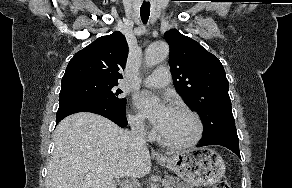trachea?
<instances>
[{"mask_svg":"<svg viewBox=\"0 0 292 188\" xmlns=\"http://www.w3.org/2000/svg\"><path fill=\"white\" fill-rule=\"evenodd\" d=\"M150 15V3H143L140 8V16L144 24L147 23Z\"/></svg>","mask_w":292,"mask_h":188,"instance_id":"obj_1","label":"trachea"}]
</instances>
